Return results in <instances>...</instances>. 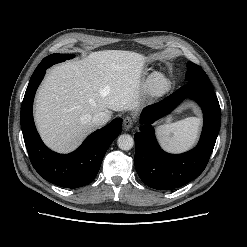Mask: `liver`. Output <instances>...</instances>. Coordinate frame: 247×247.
<instances>
[{"mask_svg": "<svg viewBox=\"0 0 247 247\" xmlns=\"http://www.w3.org/2000/svg\"><path fill=\"white\" fill-rule=\"evenodd\" d=\"M145 61L135 52L105 50L50 70L35 101V122L45 144L70 152L96 129L94 114L138 111Z\"/></svg>", "mask_w": 247, "mask_h": 247, "instance_id": "6515ba94", "label": "liver"}]
</instances>
